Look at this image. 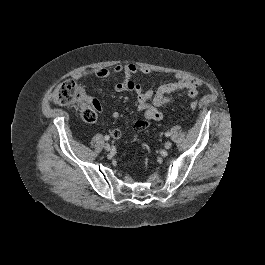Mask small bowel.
Returning <instances> with one entry per match:
<instances>
[{"instance_id":"1","label":"small bowel","mask_w":265,"mask_h":265,"mask_svg":"<svg viewBox=\"0 0 265 265\" xmlns=\"http://www.w3.org/2000/svg\"><path fill=\"white\" fill-rule=\"evenodd\" d=\"M113 71L117 74H123L125 80L118 82L114 86L116 92L130 91L135 93L137 99V110L142 112L144 120H139L134 124V129L140 131L145 129L151 121H159L162 119V113L160 107L170 104L173 101L172 94L185 90L186 95L189 98H195L198 95V88L201 85V81L188 74H176V81L159 86L158 88L144 89L139 83L133 80V77L138 72L148 75L150 70L146 67H140L135 64H118L113 68ZM111 75V71L106 67H98L90 70H84L74 74V80H81L89 76L97 78H107ZM89 101L97 100L91 99L87 96ZM100 106V105H99ZM120 114L118 111L112 112V117L117 119ZM112 136L114 138H120L121 132L119 130H113Z\"/></svg>"}]
</instances>
